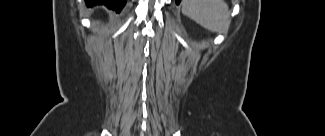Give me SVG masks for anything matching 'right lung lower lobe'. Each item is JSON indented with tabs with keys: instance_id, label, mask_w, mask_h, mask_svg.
<instances>
[{
	"instance_id": "98d812e1",
	"label": "right lung lower lobe",
	"mask_w": 325,
	"mask_h": 136,
	"mask_svg": "<svg viewBox=\"0 0 325 136\" xmlns=\"http://www.w3.org/2000/svg\"><path fill=\"white\" fill-rule=\"evenodd\" d=\"M86 3L88 6L104 4L108 8L116 10L117 12H120V10L123 8V6L126 3V0H86Z\"/></svg>"
}]
</instances>
